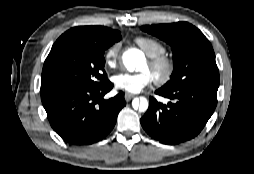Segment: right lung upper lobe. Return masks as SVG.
I'll use <instances>...</instances> for the list:
<instances>
[{
    "mask_svg": "<svg viewBox=\"0 0 254 174\" xmlns=\"http://www.w3.org/2000/svg\"><path fill=\"white\" fill-rule=\"evenodd\" d=\"M119 31L112 30L107 27L102 26H81L74 27L66 31L64 34H71L83 37L85 39L91 40L93 42H103L114 35L118 34Z\"/></svg>",
    "mask_w": 254,
    "mask_h": 174,
    "instance_id": "right-lung-upper-lobe-1",
    "label": "right lung upper lobe"
}]
</instances>
